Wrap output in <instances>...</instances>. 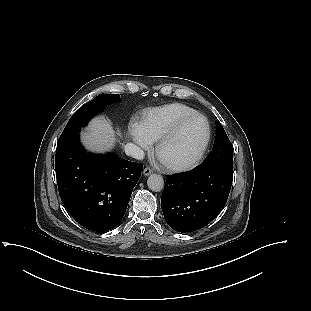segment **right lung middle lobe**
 <instances>
[{"instance_id":"1","label":"right lung middle lobe","mask_w":311,"mask_h":311,"mask_svg":"<svg viewBox=\"0 0 311 311\" xmlns=\"http://www.w3.org/2000/svg\"><path fill=\"white\" fill-rule=\"evenodd\" d=\"M120 101L119 94H100L95 99L83 105L67 123L58 140L57 146H60L77 136L81 127L87 125L88 121L98 114L105 106Z\"/></svg>"}]
</instances>
